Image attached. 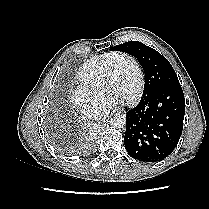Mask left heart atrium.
<instances>
[{
  "mask_svg": "<svg viewBox=\"0 0 209 209\" xmlns=\"http://www.w3.org/2000/svg\"><path fill=\"white\" fill-rule=\"evenodd\" d=\"M118 101H119V99H117V98H112V97L108 98L109 104L117 103Z\"/></svg>",
  "mask_w": 209,
  "mask_h": 209,
  "instance_id": "1",
  "label": "left heart atrium"
}]
</instances>
